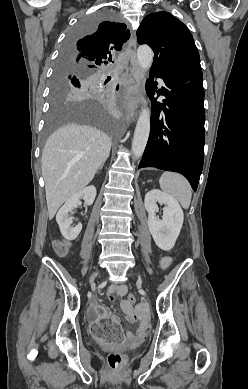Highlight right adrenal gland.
<instances>
[{"mask_svg":"<svg viewBox=\"0 0 248 389\" xmlns=\"http://www.w3.org/2000/svg\"><path fill=\"white\" fill-rule=\"evenodd\" d=\"M104 163H105V162H103V163L100 165L99 170H102V168H103V166H104Z\"/></svg>","mask_w":248,"mask_h":389,"instance_id":"2a0ac1e0","label":"right adrenal gland"}]
</instances>
